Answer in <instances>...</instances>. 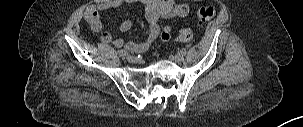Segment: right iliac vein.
<instances>
[{
	"instance_id": "63e3f726",
	"label": "right iliac vein",
	"mask_w": 303,
	"mask_h": 127,
	"mask_svg": "<svg viewBox=\"0 0 303 127\" xmlns=\"http://www.w3.org/2000/svg\"><path fill=\"white\" fill-rule=\"evenodd\" d=\"M127 60H128L130 63H137V62H138V58L135 57V56H131V55H128V56H127Z\"/></svg>"
}]
</instances>
